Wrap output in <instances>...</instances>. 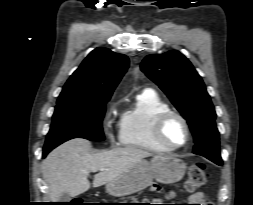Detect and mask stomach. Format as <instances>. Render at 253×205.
I'll return each mask as SVG.
<instances>
[{"label":"stomach","mask_w":253,"mask_h":205,"mask_svg":"<svg viewBox=\"0 0 253 205\" xmlns=\"http://www.w3.org/2000/svg\"><path fill=\"white\" fill-rule=\"evenodd\" d=\"M186 164L179 158L158 155L150 161L142 159L106 185V192L114 197L127 196L145 189L155 178L163 184L180 181Z\"/></svg>","instance_id":"0dacf381"}]
</instances>
